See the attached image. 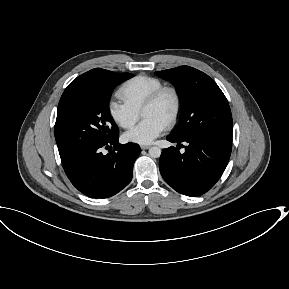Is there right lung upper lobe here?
I'll return each mask as SVG.
<instances>
[{"label": "right lung upper lobe", "mask_w": 289, "mask_h": 289, "mask_svg": "<svg viewBox=\"0 0 289 289\" xmlns=\"http://www.w3.org/2000/svg\"><path fill=\"white\" fill-rule=\"evenodd\" d=\"M114 72L95 68L77 77L68 87L96 85Z\"/></svg>", "instance_id": "obj_1"}]
</instances>
